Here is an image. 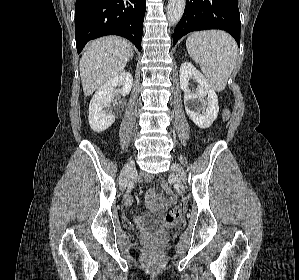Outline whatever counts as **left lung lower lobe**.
Returning a JSON list of instances; mask_svg holds the SVG:
<instances>
[{
	"instance_id": "1",
	"label": "left lung lower lobe",
	"mask_w": 299,
	"mask_h": 280,
	"mask_svg": "<svg viewBox=\"0 0 299 280\" xmlns=\"http://www.w3.org/2000/svg\"><path fill=\"white\" fill-rule=\"evenodd\" d=\"M240 14L237 0H186L184 14L175 28L173 45L192 31L221 29L240 44Z\"/></svg>"
}]
</instances>
